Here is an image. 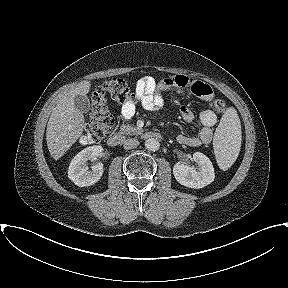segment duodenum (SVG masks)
Listing matches in <instances>:
<instances>
[{"label": "duodenum", "mask_w": 288, "mask_h": 288, "mask_svg": "<svg viewBox=\"0 0 288 288\" xmlns=\"http://www.w3.org/2000/svg\"><path fill=\"white\" fill-rule=\"evenodd\" d=\"M142 136L145 139H156L160 140L162 138V135L159 132L156 131H146L142 133ZM124 141V136L121 134H114L109 137L107 143L111 147H117L120 146Z\"/></svg>", "instance_id": "1"}]
</instances>
